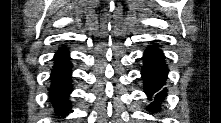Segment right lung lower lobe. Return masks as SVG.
Here are the masks:
<instances>
[{
  "instance_id": "obj_1",
  "label": "right lung lower lobe",
  "mask_w": 221,
  "mask_h": 123,
  "mask_svg": "<svg viewBox=\"0 0 221 123\" xmlns=\"http://www.w3.org/2000/svg\"><path fill=\"white\" fill-rule=\"evenodd\" d=\"M69 51L66 47L60 48L54 57V66L51 71V86L49 97L52 101L54 112L57 116L65 117L71 108L68 96L72 91L70 80L71 62Z\"/></svg>"
}]
</instances>
